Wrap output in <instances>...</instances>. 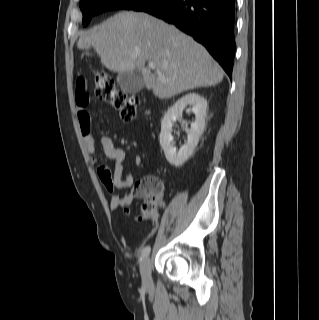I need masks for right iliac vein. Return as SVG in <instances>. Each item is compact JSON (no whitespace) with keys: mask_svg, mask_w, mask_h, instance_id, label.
Segmentation results:
<instances>
[{"mask_svg":"<svg viewBox=\"0 0 319 320\" xmlns=\"http://www.w3.org/2000/svg\"><path fill=\"white\" fill-rule=\"evenodd\" d=\"M140 273L143 285L147 288H150L152 286L151 262L148 257L142 261L140 265Z\"/></svg>","mask_w":319,"mask_h":320,"instance_id":"1","label":"right iliac vein"}]
</instances>
